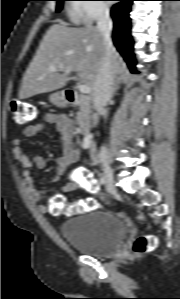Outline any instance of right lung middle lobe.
<instances>
[{
  "instance_id": "obj_1",
  "label": "right lung middle lobe",
  "mask_w": 180,
  "mask_h": 299,
  "mask_svg": "<svg viewBox=\"0 0 180 299\" xmlns=\"http://www.w3.org/2000/svg\"><path fill=\"white\" fill-rule=\"evenodd\" d=\"M56 1H58V4H57V6H56V12H60L61 9H62V3H63V1H65V0H56Z\"/></svg>"
}]
</instances>
